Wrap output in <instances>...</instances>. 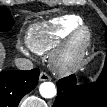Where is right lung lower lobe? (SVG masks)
<instances>
[{
	"label": "right lung lower lobe",
	"instance_id": "1",
	"mask_svg": "<svg viewBox=\"0 0 107 107\" xmlns=\"http://www.w3.org/2000/svg\"><path fill=\"white\" fill-rule=\"evenodd\" d=\"M39 69L0 72V107H18L22 97L38 82Z\"/></svg>",
	"mask_w": 107,
	"mask_h": 107
}]
</instances>
